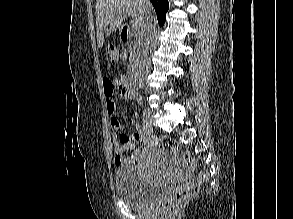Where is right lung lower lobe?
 <instances>
[{"label":"right lung lower lobe","mask_w":293,"mask_h":219,"mask_svg":"<svg viewBox=\"0 0 293 219\" xmlns=\"http://www.w3.org/2000/svg\"><path fill=\"white\" fill-rule=\"evenodd\" d=\"M157 14L158 23L162 26L165 22L166 12L169 8L168 0H150Z\"/></svg>","instance_id":"obj_1"}]
</instances>
